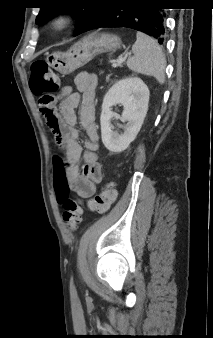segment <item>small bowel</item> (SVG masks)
Returning a JSON list of instances; mask_svg holds the SVG:
<instances>
[{
    "label": "small bowel",
    "mask_w": 213,
    "mask_h": 338,
    "mask_svg": "<svg viewBox=\"0 0 213 338\" xmlns=\"http://www.w3.org/2000/svg\"><path fill=\"white\" fill-rule=\"evenodd\" d=\"M75 86H64L58 94L59 125L63 131V144L66 150L64 161H55L54 170L66 171L70 189L82 199L91 198L96 191L95 184L101 182L102 171L98 161V133L94 115L95 89L97 76L83 72L76 76ZM81 104V106H80ZM80 106L79 117L76 109ZM80 123L85 132L84 147L79 143ZM82 159L83 166L79 167Z\"/></svg>",
    "instance_id": "c3829d8e"
}]
</instances>
